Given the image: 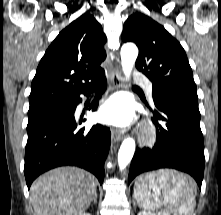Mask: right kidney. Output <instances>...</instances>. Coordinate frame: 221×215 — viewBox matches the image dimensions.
Returning <instances> with one entry per match:
<instances>
[{
  "label": "right kidney",
  "instance_id": "1",
  "mask_svg": "<svg viewBox=\"0 0 221 215\" xmlns=\"http://www.w3.org/2000/svg\"><path fill=\"white\" fill-rule=\"evenodd\" d=\"M81 215H91L90 213H82Z\"/></svg>",
  "mask_w": 221,
  "mask_h": 215
}]
</instances>
